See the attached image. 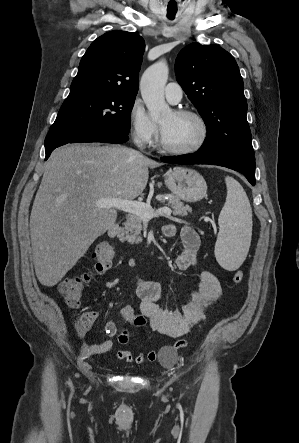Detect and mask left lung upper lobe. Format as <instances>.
I'll list each match as a JSON object with an SVG mask.
<instances>
[{"label":"left lung upper lobe","instance_id":"left-lung-upper-lobe-1","mask_svg":"<svg viewBox=\"0 0 299 443\" xmlns=\"http://www.w3.org/2000/svg\"><path fill=\"white\" fill-rule=\"evenodd\" d=\"M175 73L207 127L199 152L221 158L254 156L243 79L233 56L217 45L192 43L178 54Z\"/></svg>","mask_w":299,"mask_h":443}]
</instances>
